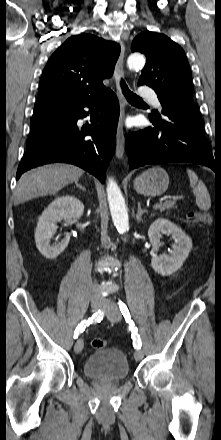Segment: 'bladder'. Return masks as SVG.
I'll return each mask as SVG.
<instances>
[{"label": "bladder", "mask_w": 221, "mask_h": 440, "mask_svg": "<svg viewBox=\"0 0 221 440\" xmlns=\"http://www.w3.org/2000/svg\"><path fill=\"white\" fill-rule=\"evenodd\" d=\"M83 372L86 377L96 381H122L128 377L129 364L121 350L101 349L86 359Z\"/></svg>", "instance_id": "obj_1"}]
</instances>
